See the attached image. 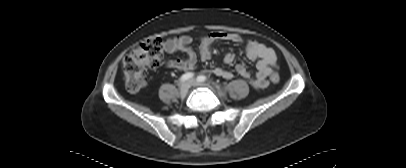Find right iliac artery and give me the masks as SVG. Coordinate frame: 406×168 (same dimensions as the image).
I'll use <instances>...</instances> for the list:
<instances>
[{"instance_id": "82829eb1", "label": "right iliac artery", "mask_w": 406, "mask_h": 168, "mask_svg": "<svg viewBox=\"0 0 406 168\" xmlns=\"http://www.w3.org/2000/svg\"><path fill=\"white\" fill-rule=\"evenodd\" d=\"M193 76H194L193 73H190V72L185 73V74H183V75L180 77V82H185V81H187V80L193 78Z\"/></svg>"}]
</instances>
